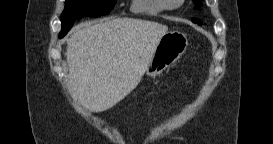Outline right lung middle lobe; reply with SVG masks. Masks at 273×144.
Wrapping results in <instances>:
<instances>
[{"instance_id": "dd1d6c3e", "label": "right lung middle lobe", "mask_w": 273, "mask_h": 144, "mask_svg": "<svg viewBox=\"0 0 273 144\" xmlns=\"http://www.w3.org/2000/svg\"><path fill=\"white\" fill-rule=\"evenodd\" d=\"M116 0H66L61 16L62 29L59 38L66 35L76 19L84 16L98 17L108 14Z\"/></svg>"}]
</instances>
